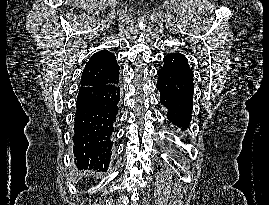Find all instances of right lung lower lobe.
<instances>
[{"label": "right lung lower lobe", "instance_id": "obj_1", "mask_svg": "<svg viewBox=\"0 0 269 205\" xmlns=\"http://www.w3.org/2000/svg\"><path fill=\"white\" fill-rule=\"evenodd\" d=\"M119 79L111 84L80 87L74 119L73 152L79 169L107 171L120 101Z\"/></svg>", "mask_w": 269, "mask_h": 205}]
</instances>
